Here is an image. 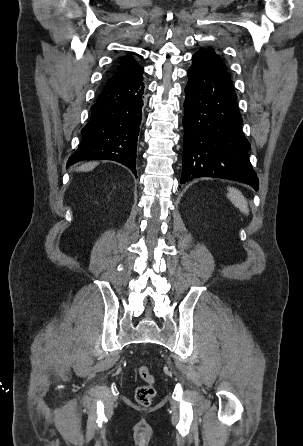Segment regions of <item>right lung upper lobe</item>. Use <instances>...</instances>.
Instances as JSON below:
<instances>
[{
	"label": "right lung upper lobe",
	"mask_w": 303,
	"mask_h": 446,
	"mask_svg": "<svg viewBox=\"0 0 303 446\" xmlns=\"http://www.w3.org/2000/svg\"><path fill=\"white\" fill-rule=\"evenodd\" d=\"M142 72L143 67L139 66L133 58L127 56L119 62V65L116 67L114 74L108 80L106 86L135 79L141 76Z\"/></svg>",
	"instance_id": "right-lung-upper-lobe-1"
}]
</instances>
